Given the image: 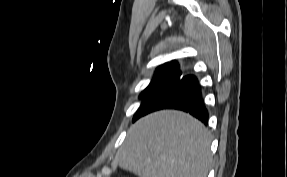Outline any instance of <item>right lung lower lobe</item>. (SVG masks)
Here are the masks:
<instances>
[{
    "label": "right lung lower lobe",
    "mask_w": 287,
    "mask_h": 177,
    "mask_svg": "<svg viewBox=\"0 0 287 177\" xmlns=\"http://www.w3.org/2000/svg\"><path fill=\"white\" fill-rule=\"evenodd\" d=\"M140 109L133 121L160 109H178L208 122V111L202 99L199 83L194 75H185L174 70L155 82L141 98Z\"/></svg>",
    "instance_id": "obj_1"
}]
</instances>
